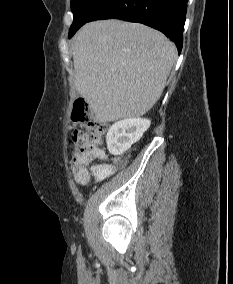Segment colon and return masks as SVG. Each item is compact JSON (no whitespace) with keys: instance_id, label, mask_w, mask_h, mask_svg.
Returning a JSON list of instances; mask_svg holds the SVG:
<instances>
[{"instance_id":"obj_1","label":"colon","mask_w":233,"mask_h":284,"mask_svg":"<svg viewBox=\"0 0 233 284\" xmlns=\"http://www.w3.org/2000/svg\"><path fill=\"white\" fill-rule=\"evenodd\" d=\"M72 119L84 130H75L72 134L74 160L73 175L75 180L84 175L85 169L96 159H104L105 152L100 144L108 125L99 120L83 99H77L73 104Z\"/></svg>"}]
</instances>
